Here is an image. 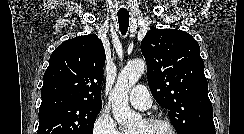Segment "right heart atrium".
<instances>
[{
	"label": "right heart atrium",
	"mask_w": 244,
	"mask_h": 134,
	"mask_svg": "<svg viewBox=\"0 0 244 134\" xmlns=\"http://www.w3.org/2000/svg\"><path fill=\"white\" fill-rule=\"evenodd\" d=\"M92 134H124L117 126L112 115L102 111L95 119L92 126Z\"/></svg>",
	"instance_id": "obj_1"
}]
</instances>
